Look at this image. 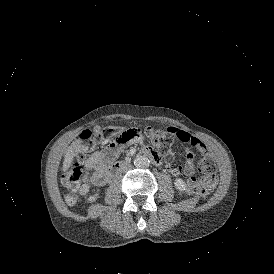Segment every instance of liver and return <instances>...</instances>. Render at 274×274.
Returning a JSON list of instances; mask_svg holds the SVG:
<instances>
[{
	"label": "liver",
	"instance_id": "liver-1",
	"mask_svg": "<svg viewBox=\"0 0 274 274\" xmlns=\"http://www.w3.org/2000/svg\"><path fill=\"white\" fill-rule=\"evenodd\" d=\"M74 146H75V143L73 142L65 154L64 162H63V171H66L72 164L73 158L75 156V153L72 151Z\"/></svg>",
	"mask_w": 274,
	"mask_h": 274
}]
</instances>
